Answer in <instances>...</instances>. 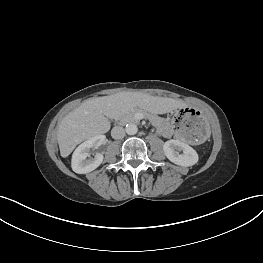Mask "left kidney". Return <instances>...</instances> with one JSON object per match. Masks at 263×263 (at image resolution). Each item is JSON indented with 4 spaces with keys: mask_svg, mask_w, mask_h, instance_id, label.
Here are the masks:
<instances>
[{
    "mask_svg": "<svg viewBox=\"0 0 263 263\" xmlns=\"http://www.w3.org/2000/svg\"><path fill=\"white\" fill-rule=\"evenodd\" d=\"M163 151L171 162L180 166L188 167L198 162L197 152L180 140L171 139L166 141L163 145ZM179 151H182V153H179Z\"/></svg>",
    "mask_w": 263,
    "mask_h": 263,
    "instance_id": "obj_1",
    "label": "left kidney"
}]
</instances>
